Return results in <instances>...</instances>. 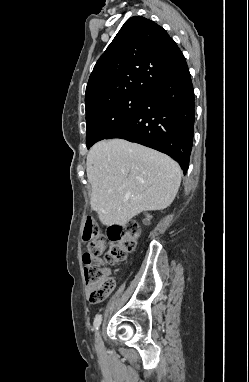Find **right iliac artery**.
<instances>
[{
    "mask_svg": "<svg viewBox=\"0 0 249 382\" xmlns=\"http://www.w3.org/2000/svg\"><path fill=\"white\" fill-rule=\"evenodd\" d=\"M102 321V316L101 315H96L94 319V327L95 329H98Z\"/></svg>",
    "mask_w": 249,
    "mask_h": 382,
    "instance_id": "1",
    "label": "right iliac artery"
}]
</instances>
